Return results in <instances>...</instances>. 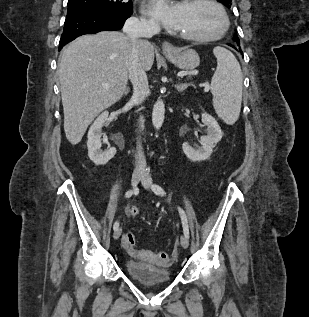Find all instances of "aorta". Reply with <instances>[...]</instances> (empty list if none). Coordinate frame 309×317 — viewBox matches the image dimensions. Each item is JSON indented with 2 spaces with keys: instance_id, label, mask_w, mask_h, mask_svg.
Returning a JSON list of instances; mask_svg holds the SVG:
<instances>
[{
  "instance_id": "1",
  "label": "aorta",
  "mask_w": 309,
  "mask_h": 317,
  "mask_svg": "<svg viewBox=\"0 0 309 317\" xmlns=\"http://www.w3.org/2000/svg\"><path fill=\"white\" fill-rule=\"evenodd\" d=\"M165 117V105L162 100H158L152 112V123L156 130H159L163 124Z\"/></svg>"
}]
</instances>
